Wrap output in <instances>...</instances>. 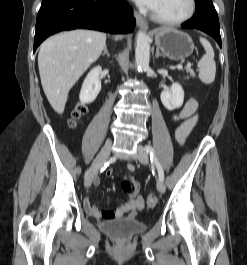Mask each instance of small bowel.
Masks as SVG:
<instances>
[{"label":"small bowel","instance_id":"small-bowel-1","mask_svg":"<svg viewBox=\"0 0 247 265\" xmlns=\"http://www.w3.org/2000/svg\"><path fill=\"white\" fill-rule=\"evenodd\" d=\"M198 109V101L194 97H189L183 107L179 112L175 113L172 116V120L175 122L181 121V124L176 130L175 137L177 142L180 145H183L191 133L192 129L196 125L198 121V114L196 113ZM129 171L134 169L132 164H128L127 166ZM107 176H110L111 172H106ZM95 184H98V180H95ZM85 210L92 216L100 219H115L119 217H123L125 215L135 216L139 211L144 208L145 202L142 196H137L129 199L126 203L120 205L114 210H106L100 209L95 206L89 197H85L84 201Z\"/></svg>","mask_w":247,"mask_h":265}]
</instances>
